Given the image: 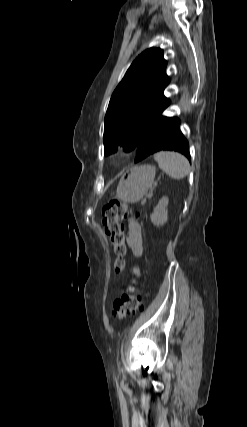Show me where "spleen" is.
<instances>
[{
    "label": "spleen",
    "instance_id": "obj_1",
    "mask_svg": "<svg viewBox=\"0 0 247 427\" xmlns=\"http://www.w3.org/2000/svg\"><path fill=\"white\" fill-rule=\"evenodd\" d=\"M154 159L166 174L174 179L184 178L190 171L188 160L177 152L162 151L154 154Z\"/></svg>",
    "mask_w": 247,
    "mask_h": 427
}]
</instances>
